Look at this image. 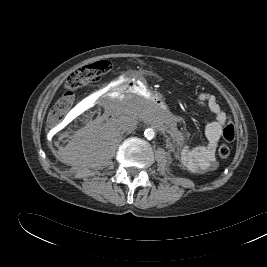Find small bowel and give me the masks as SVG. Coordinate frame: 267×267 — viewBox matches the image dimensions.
Listing matches in <instances>:
<instances>
[{
  "mask_svg": "<svg viewBox=\"0 0 267 267\" xmlns=\"http://www.w3.org/2000/svg\"><path fill=\"white\" fill-rule=\"evenodd\" d=\"M199 105L206 107L215 117L205 128L207 144L199 147H184L179 152L180 162L191 172L202 173L216 167L215 152L228 120L213 94L202 92L197 96ZM174 134L177 133L174 131Z\"/></svg>",
  "mask_w": 267,
  "mask_h": 267,
  "instance_id": "obj_1",
  "label": "small bowel"
}]
</instances>
